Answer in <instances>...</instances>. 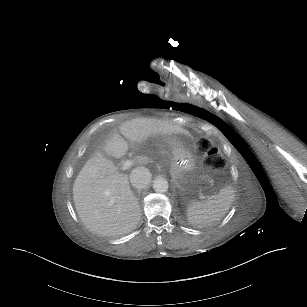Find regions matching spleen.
<instances>
[{
	"label": "spleen",
	"instance_id": "obj_1",
	"mask_svg": "<svg viewBox=\"0 0 307 307\" xmlns=\"http://www.w3.org/2000/svg\"><path fill=\"white\" fill-rule=\"evenodd\" d=\"M233 199V190L230 187L223 188L210 200L193 204L189 209V219L197 227H209L225 216Z\"/></svg>",
	"mask_w": 307,
	"mask_h": 307
}]
</instances>
